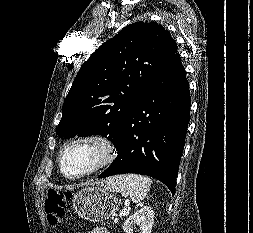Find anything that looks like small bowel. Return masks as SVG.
Returning <instances> with one entry per match:
<instances>
[{"mask_svg":"<svg viewBox=\"0 0 253 233\" xmlns=\"http://www.w3.org/2000/svg\"><path fill=\"white\" fill-rule=\"evenodd\" d=\"M90 233H109L107 229L103 227L94 228Z\"/></svg>","mask_w":253,"mask_h":233,"instance_id":"c3829d8e","label":"small bowel"}]
</instances>
